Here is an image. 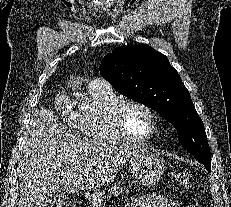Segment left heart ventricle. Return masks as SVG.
Returning <instances> with one entry per match:
<instances>
[{
    "label": "left heart ventricle",
    "instance_id": "1",
    "mask_svg": "<svg viewBox=\"0 0 231 207\" xmlns=\"http://www.w3.org/2000/svg\"><path fill=\"white\" fill-rule=\"evenodd\" d=\"M123 120L127 130L134 137H146L151 132L149 115L139 106L130 105L126 107Z\"/></svg>",
    "mask_w": 231,
    "mask_h": 207
}]
</instances>
